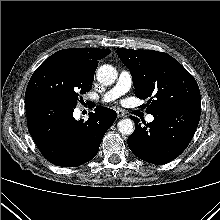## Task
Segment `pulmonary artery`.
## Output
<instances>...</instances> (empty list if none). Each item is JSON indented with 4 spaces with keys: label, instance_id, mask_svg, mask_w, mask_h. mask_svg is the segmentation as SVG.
<instances>
[{
    "label": "pulmonary artery",
    "instance_id": "obj_1",
    "mask_svg": "<svg viewBox=\"0 0 220 220\" xmlns=\"http://www.w3.org/2000/svg\"><path fill=\"white\" fill-rule=\"evenodd\" d=\"M131 85H132V77L130 72L126 70H122L119 74V77L115 85L109 91L105 92L101 96V101L111 102L119 98L120 96L124 95L130 90ZM153 120H154L153 115L146 116L147 122H152Z\"/></svg>",
    "mask_w": 220,
    "mask_h": 220
}]
</instances>
